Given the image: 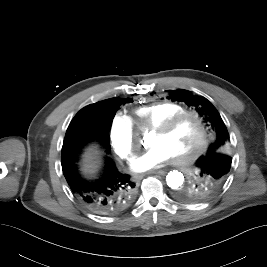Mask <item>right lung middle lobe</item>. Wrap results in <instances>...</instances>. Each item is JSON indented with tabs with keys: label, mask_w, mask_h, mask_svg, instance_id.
<instances>
[{
	"label": "right lung middle lobe",
	"mask_w": 267,
	"mask_h": 267,
	"mask_svg": "<svg viewBox=\"0 0 267 267\" xmlns=\"http://www.w3.org/2000/svg\"><path fill=\"white\" fill-rule=\"evenodd\" d=\"M124 101H110L103 105L101 112L105 115L107 122L110 124L108 129L104 132V137L102 139V146L106 149L108 152L110 150V137H109V128L111 126V122L119 109L121 104H125Z\"/></svg>",
	"instance_id": "obj_1"
}]
</instances>
